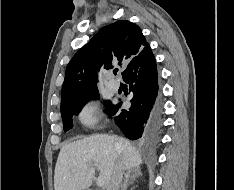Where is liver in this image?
<instances>
[{"instance_id":"1","label":"liver","mask_w":234,"mask_h":190,"mask_svg":"<svg viewBox=\"0 0 234 190\" xmlns=\"http://www.w3.org/2000/svg\"><path fill=\"white\" fill-rule=\"evenodd\" d=\"M124 169L138 170L142 163L136 148L126 139L114 135H91L65 144L55 166V190H88L95 175L93 163L99 164L100 176L107 187L117 161Z\"/></svg>"}]
</instances>
